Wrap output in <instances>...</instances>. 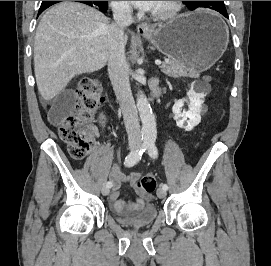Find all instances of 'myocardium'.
I'll list each match as a JSON object with an SVG mask.
<instances>
[{
	"label": "myocardium",
	"instance_id": "1",
	"mask_svg": "<svg viewBox=\"0 0 271 266\" xmlns=\"http://www.w3.org/2000/svg\"><path fill=\"white\" fill-rule=\"evenodd\" d=\"M181 9V1H166L161 10H154L152 16L158 20H168L176 16Z\"/></svg>",
	"mask_w": 271,
	"mask_h": 266
}]
</instances>
